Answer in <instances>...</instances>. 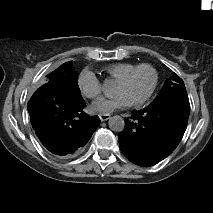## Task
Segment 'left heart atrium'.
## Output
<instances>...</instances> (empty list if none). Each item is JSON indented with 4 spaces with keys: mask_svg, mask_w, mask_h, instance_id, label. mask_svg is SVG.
Returning a JSON list of instances; mask_svg holds the SVG:
<instances>
[{
    "mask_svg": "<svg viewBox=\"0 0 213 213\" xmlns=\"http://www.w3.org/2000/svg\"><path fill=\"white\" fill-rule=\"evenodd\" d=\"M128 99L123 95H115L110 98L102 99L93 105V110L100 113H111L122 109L128 105Z\"/></svg>",
    "mask_w": 213,
    "mask_h": 213,
    "instance_id": "1",
    "label": "left heart atrium"
}]
</instances>
